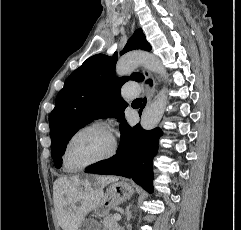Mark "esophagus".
Segmentation results:
<instances>
[{"mask_svg": "<svg viewBox=\"0 0 241 230\" xmlns=\"http://www.w3.org/2000/svg\"><path fill=\"white\" fill-rule=\"evenodd\" d=\"M143 75L146 81H148L149 79H152V74L146 69H143ZM155 92V83L153 81V85L151 86L150 84L146 85V97H147V103H150L153 95Z\"/></svg>", "mask_w": 241, "mask_h": 230, "instance_id": "obj_1", "label": "esophagus"}]
</instances>
